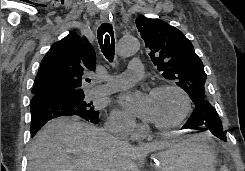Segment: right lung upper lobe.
I'll list each match as a JSON object with an SVG mask.
<instances>
[{
  "instance_id": "cb5924a9",
  "label": "right lung upper lobe",
  "mask_w": 245,
  "mask_h": 171,
  "mask_svg": "<svg viewBox=\"0 0 245 171\" xmlns=\"http://www.w3.org/2000/svg\"><path fill=\"white\" fill-rule=\"evenodd\" d=\"M95 64V50L88 40L70 33L42 59L32 93L34 97L82 95V76L95 70Z\"/></svg>"
}]
</instances>
